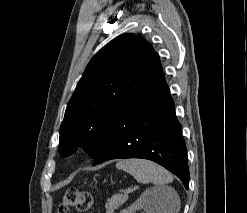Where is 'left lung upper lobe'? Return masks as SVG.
<instances>
[{"mask_svg": "<svg viewBox=\"0 0 247 213\" xmlns=\"http://www.w3.org/2000/svg\"><path fill=\"white\" fill-rule=\"evenodd\" d=\"M159 56L142 37L123 34L102 48L87 65L60 127V155L79 146L95 159L128 101L132 100Z\"/></svg>", "mask_w": 247, "mask_h": 213, "instance_id": "left-lung-upper-lobe-1", "label": "left lung upper lobe"}]
</instances>
